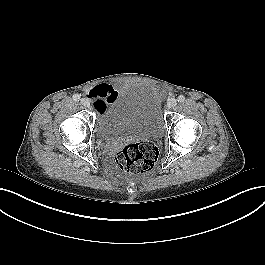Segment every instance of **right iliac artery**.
Masks as SVG:
<instances>
[{
  "mask_svg": "<svg viewBox=\"0 0 265 265\" xmlns=\"http://www.w3.org/2000/svg\"><path fill=\"white\" fill-rule=\"evenodd\" d=\"M73 100L74 101H79L80 100V96L78 94H74L73 95Z\"/></svg>",
  "mask_w": 265,
  "mask_h": 265,
  "instance_id": "obj_1",
  "label": "right iliac artery"
}]
</instances>
